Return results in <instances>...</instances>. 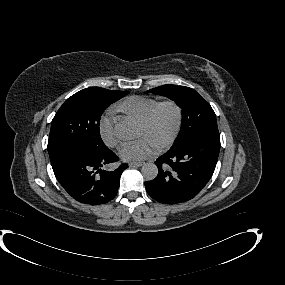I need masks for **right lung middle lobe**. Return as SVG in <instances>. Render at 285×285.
<instances>
[{
    "instance_id": "right-lung-middle-lobe-1",
    "label": "right lung middle lobe",
    "mask_w": 285,
    "mask_h": 285,
    "mask_svg": "<svg viewBox=\"0 0 285 285\" xmlns=\"http://www.w3.org/2000/svg\"><path fill=\"white\" fill-rule=\"evenodd\" d=\"M127 94L90 87L68 98L52 120L48 140L50 159L68 149L94 155L107 152L100 136V117L110 104Z\"/></svg>"
}]
</instances>
